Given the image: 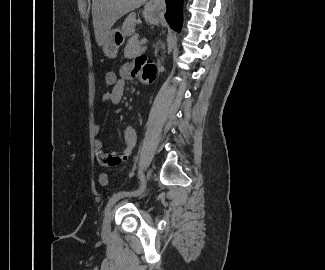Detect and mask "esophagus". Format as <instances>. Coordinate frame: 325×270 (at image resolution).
I'll use <instances>...</instances> for the list:
<instances>
[{
  "label": "esophagus",
  "instance_id": "esophagus-1",
  "mask_svg": "<svg viewBox=\"0 0 325 270\" xmlns=\"http://www.w3.org/2000/svg\"><path fill=\"white\" fill-rule=\"evenodd\" d=\"M149 5L156 9H164L165 8V0H150Z\"/></svg>",
  "mask_w": 325,
  "mask_h": 270
}]
</instances>
